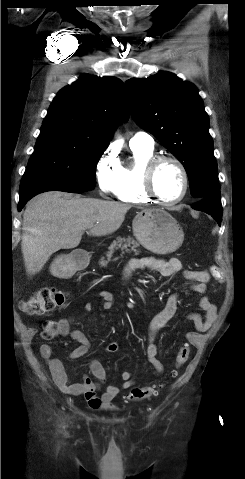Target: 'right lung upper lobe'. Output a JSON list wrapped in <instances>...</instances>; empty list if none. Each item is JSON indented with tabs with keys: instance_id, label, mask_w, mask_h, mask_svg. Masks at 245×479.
Instances as JSON below:
<instances>
[{
	"instance_id": "1",
	"label": "right lung upper lobe",
	"mask_w": 245,
	"mask_h": 479,
	"mask_svg": "<svg viewBox=\"0 0 245 479\" xmlns=\"http://www.w3.org/2000/svg\"><path fill=\"white\" fill-rule=\"evenodd\" d=\"M129 116L123 83L83 74L54 98L41 131H60L108 147L114 127Z\"/></svg>"
}]
</instances>
